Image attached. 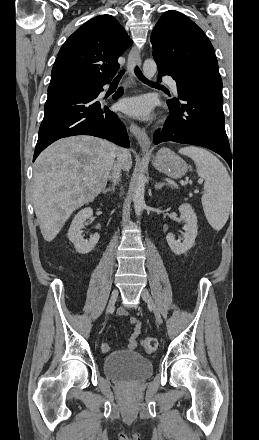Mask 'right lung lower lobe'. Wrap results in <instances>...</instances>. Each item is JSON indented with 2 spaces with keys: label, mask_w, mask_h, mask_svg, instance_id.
Listing matches in <instances>:
<instances>
[{
  "label": "right lung lower lobe",
  "mask_w": 259,
  "mask_h": 440,
  "mask_svg": "<svg viewBox=\"0 0 259 440\" xmlns=\"http://www.w3.org/2000/svg\"><path fill=\"white\" fill-rule=\"evenodd\" d=\"M109 82L48 93L33 161L54 141L74 135H92L129 148L124 124L107 106L97 101L103 86ZM122 94L120 88L113 98Z\"/></svg>",
  "instance_id": "right-lung-lower-lobe-1"
}]
</instances>
